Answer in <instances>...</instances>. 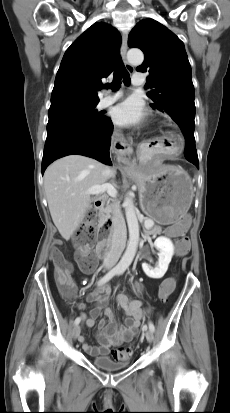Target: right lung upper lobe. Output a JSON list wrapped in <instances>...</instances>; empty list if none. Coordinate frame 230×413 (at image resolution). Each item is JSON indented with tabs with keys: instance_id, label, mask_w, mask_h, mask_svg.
<instances>
[{
	"instance_id": "right-lung-upper-lobe-1",
	"label": "right lung upper lobe",
	"mask_w": 230,
	"mask_h": 413,
	"mask_svg": "<svg viewBox=\"0 0 230 413\" xmlns=\"http://www.w3.org/2000/svg\"><path fill=\"white\" fill-rule=\"evenodd\" d=\"M121 35L114 27L97 22L66 50L51 94L54 108L66 104H97L98 85L114 69Z\"/></svg>"
}]
</instances>
